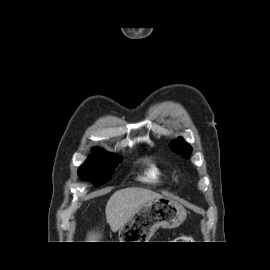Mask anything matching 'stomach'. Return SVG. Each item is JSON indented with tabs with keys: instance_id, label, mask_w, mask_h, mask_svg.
<instances>
[{
	"instance_id": "obj_1",
	"label": "stomach",
	"mask_w": 270,
	"mask_h": 270,
	"mask_svg": "<svg viewBox=\"0 0 270 270\" xmlns=\"http://www.w3.org/2000/svg\"><path fill=\"white\" fill-rule=\"evenodd\" d=\"M187 217L186 209L177 201L160 197L147 202L119 229L120 242H148L159 228H176Z\"/></svg>"
}]
</instances>
